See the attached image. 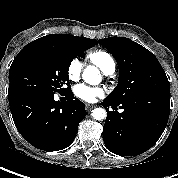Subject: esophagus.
Here are the masks:
<instances>
[{
	"label": "esophagus",
	"mask_w": 178,
	"mask_h": 178,
	"mask_svg": "<svg viewBox=\"0 0 178 178\" xmlns=\"http://www.w3.org/2000/svg\"><path fill=\"white\" fill-rule=\"evenodd\" d=\"M85 108H86V110L89 112L91 109L94 108V105H91V104H85Z\"/></svg>",
	"instance_id": "obj_1"
}]
</instances>
